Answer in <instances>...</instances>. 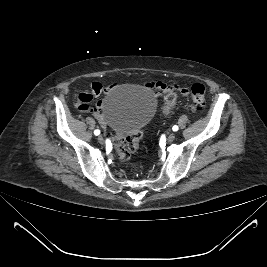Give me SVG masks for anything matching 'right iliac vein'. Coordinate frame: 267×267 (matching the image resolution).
Here are the masks:
<instances>
[{"instance_id":"obj_1","label":"right iliac vein","mask_w":267,"mask_h":267,"mask_svg":"<svg viewBox=\"0 0 267 267\" xmlns=\"http://www.w3.org/2000/svg\"><path fill=\"white\" fill-rule=\"evenodd\" d=\"M97 139H98V142L100 144H103L104 143V139H103V136L102 135H99Z\"/></svg>"}]
</instances>
